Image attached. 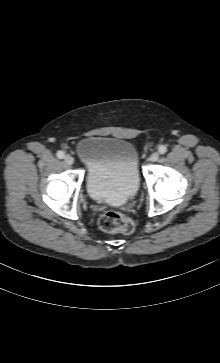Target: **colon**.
I'll return each instance as SVG.
<instances>
[{"instance_id":"5ec220e1","label":"colon","mask_w":220,"mask_h":363,"mask_svg":"<svg viewBox=\"0 0 220 363\" xmlns=\"http://www.w3.org/2000/svg\"><path fill=\"white\" fill-rule=\"evenodd\" d=\"M98 224L105 232L123 235L131 234L135 228L134 222L130 217L114 210L104 212L100 216Z\"/></svg>"}]
</instances>
